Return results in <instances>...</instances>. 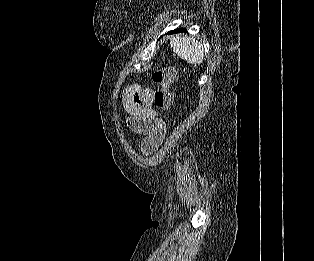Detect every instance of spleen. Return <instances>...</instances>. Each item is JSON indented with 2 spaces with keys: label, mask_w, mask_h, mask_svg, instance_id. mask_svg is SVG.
<instances>
[{
  "label": "spleen",
  "mask_w": 314,
  "mask_h": 261,
  "mask_svg": "<svg viewBox=\"0 0 314 261\" xmlns=\"http://www.w3.org/2000/svg\"><path fill=\"white\" fill-rule=\"evenodd\" d=\"M171 48L183 60L190 64L196 65L203 62L204 49L201 43L194 38L176 37L172 38Z\"/></svg>",
  "instance_id": "spleen-1"
}]
</instances>
